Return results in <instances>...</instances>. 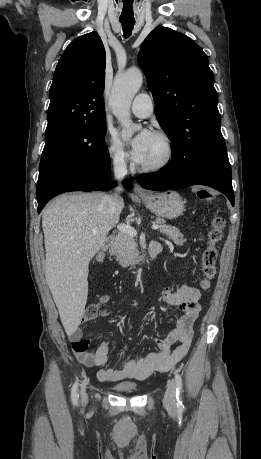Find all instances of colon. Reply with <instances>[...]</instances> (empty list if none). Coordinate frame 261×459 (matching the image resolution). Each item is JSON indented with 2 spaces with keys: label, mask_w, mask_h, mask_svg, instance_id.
Returning <instances> with one entry per match:
<instances>
[{
  "label": "colon",
  "mask_w": 261,
  "mask_h": 459,
  "mask_svg": "<svg viewBox=\"0 0 261 459\" xmlns=\"http://www.w3.org/2000/svg\"><path fill=\"white\" fill-rule=\"evenodd\" d=\"M196 195L199 199L202 200H210L213 198L211 188H200L196 192ZM223 227V218L215 217L212 221V228L208 233V241L202 254L203 277L200 281V287L204 291L208 290L211 287L212 281L216 275V265L218 260L217 243L221 239ZM104 300L105 298H103L101 302H103ZM101 302L91 303L87 306L84 313L85 321L92 320L98 316L100 312Z\"/></svg>",
  "instance_id": "colon-1"
}]
</instances>
